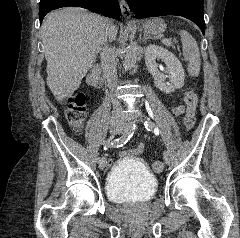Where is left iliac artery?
Returning a JSON list of instances; mask_svg holds the SVG:
<instances>
[{"label": "left iliac artery", "instance_id": "1", "mask_svg": "<svg viewBox=\"0 0 240 238\" xmlns=\"http://www.w3.org/2000/svg\"><path fill=\"white\" fill-rule=\"evenodd\" d=\"M144 127L148 131H152L154 128H157V127H154V124L151 121H145L144 122ZM164 155L168 156V152H164Z\"/></svg>", "mask_w": 240, "mask_h": 238}]
</instances>
